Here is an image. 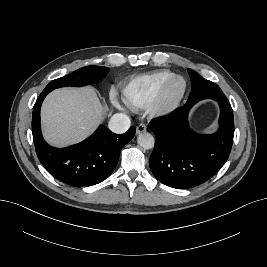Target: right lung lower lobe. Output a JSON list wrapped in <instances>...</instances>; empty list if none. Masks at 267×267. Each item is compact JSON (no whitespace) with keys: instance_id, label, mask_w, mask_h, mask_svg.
Instances as JSON below:
<instances>
[{"instance_id":"1","label":"right lung lower lobe","mask_w":267,"mask_h":267,"mask_svg":"<svg viewBox=\"0 0 267 267\" xmlns=\"http://www.w3.org/2000/svg\"><path fill=\"white\" fill-rule=\"evenodd\" d=\"M49 92L44 89L33 107L32 133L41 164L56 179L74 187L102 182L115 169L120 150L134 137L135 127L117 135L101 125L81 143L62 149L51 147L40 129V107Z\"/></svg>"}]
</instances>
